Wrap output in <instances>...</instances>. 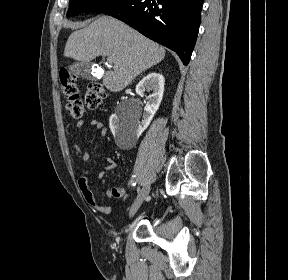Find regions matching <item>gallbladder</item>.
I'll return each instance as SVG.
<instances>
[{
    "label": "gallbladder",
    "mask_w": 288,
    "mask_h": 280,
    "mask_svg": "<svg viewBox=\"0 0 288 280\" xmlns=\"http://www.w3.org/2000/svg\"><path fill=\"white\" fill-rule=\"evenodd\" d=\"M91 67H92V64L90 62H77V63H73L69 65L68 70L76 76L90 79Z\"/></svg>",
    "instance_id": "gallbladder-1"
}]
</instances>
